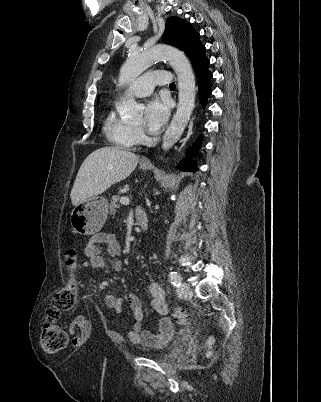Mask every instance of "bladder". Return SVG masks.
<instances>
[{
    "mask_svg": "<svg viewBox=\"0 0 321 402\" xmlns=\"http://www.w3.org/2000/svg\"><path fill=\"white\" fill-rule=\"evenodd\" d=\"M170 343H167L163 346V351L156 354H148L150 357L157 358L161 361H168L172 357V353L170 351Z\"/></svg>",
    "mask_w": 321,
    "mask_h": 402,
    "instance_id": "bladder-1",
    "label": "bladder"
}]
</instances>
